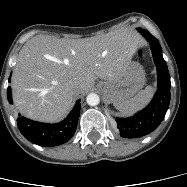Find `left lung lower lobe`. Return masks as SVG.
<instances>
[{"instance_id":"0a47b994","label":"left lung lower lobe","mask_w":187,"mask_h":187,"mask_svg":"<svg viewBox=\"0 0 187 187\" xmlns=\"http://www.w3.org/2000/svg\"><path fill=\"white\" fill-rule=\"evenodd\" d=\"M142 35L150 43L157 69L158 89L146 108L132 117L116 118L117 128L121 137L124 138H139L155 130L164 119L171 98L170 75L162 56L161 46L149 32H142Z\"/></svg>"}]
</instances>
